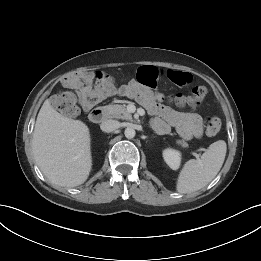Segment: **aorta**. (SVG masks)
<instances>
[{
	"label": "aorta",
	"instance_id": "762f6f07",
	"mask_svg": "<svg viewBox=\"0 0 261 261\" xmlns=\"http://www.w3.org/2000/svg\"><path fill=\"white\" fill-rule=\"evenodd\" d=\"M124 134L127 139H132L135 137L136 132L133 128L128 127L125 129Z\"/></svg>",
	"mask_w": 261,
	"mask_h": 261
}]
</instances>
